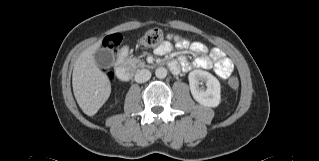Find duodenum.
<instances>
[{"label":"duodenum","instance_id":"duodenum-1","mask_svg":"<svg viewBox=\"0 0 319 161\" xmlns=\"http://www.w3.org/2000/svg\"><path fill=\"white\" fill-rule=\"evenodd\" d=\"M169 68L171 71L178 70V64L176 62H170ZM116 74L120 81H128L132 77L131 68L127 62V50L122 49L116 59Z\"/></svg>","mask_w":319,"mask_h":161}]
</instances>
